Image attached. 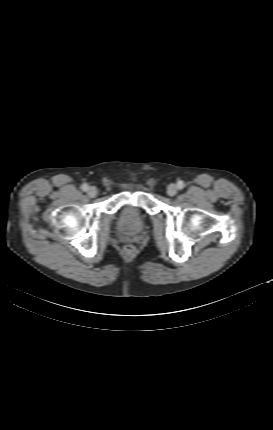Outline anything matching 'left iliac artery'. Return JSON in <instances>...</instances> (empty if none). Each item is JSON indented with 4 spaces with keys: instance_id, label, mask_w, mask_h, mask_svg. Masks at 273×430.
<instances>
[{
    "instance_id": "left-iliac-artery-1",
    "label": "left iliac artery",
    "mask_w": 273,
    "mask_h": 430,
    "mask_svg": "<svg viewBox=\"0 0 273 430\" xmlns=\"http://www.w3.org/2000/svg\"><path fill=\"white\" fill-rule=\"evenodd\" d=\"M184 186H185V184H184V182H183V181H179V182H178V187H179V189H183V188H184Z\"/></svg>"
}]
</instances>
